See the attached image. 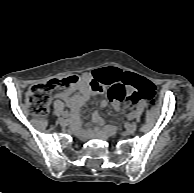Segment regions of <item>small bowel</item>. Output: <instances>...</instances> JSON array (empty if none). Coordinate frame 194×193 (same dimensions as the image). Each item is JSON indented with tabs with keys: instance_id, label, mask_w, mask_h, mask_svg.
Segmentation results:
<instances>
[{
	"instance_id": "obj_1",
	"label": "small bowel",
	"mask_w": 194,
	"mask_h": 193,
	"mask_svg": "<svg viewBox=\"0 0 194 193\" xmlns=\"http://www.w3.org/2000/svg\"><path fill=\"white\" fill-rule=\"evenodd\" d=\"M123 74L124 72L122 70L114 67L99 68L90 72H86L82 74L76 88L73 91L60 92L57 96L67 103L74 114H77L80 109L86 104H98V97L94 95L92 89L93 84L101 85L112 79L119 80L121 79ZM144 82V86H141L139 84L127 85L129 94L143 92V95L145 97H148V95L151 93V86L147 81L144 80ZM106 104V101H102L100 104H98L93 112V122L96 126L100 127L104 125V119L100 115V109L105 107ZM115 108L117 111H120L122 109V107L120 106H116ZM115 130L116 127L114 125H104L101 131V135L103 137H109L115 133Z\"/></svg>"
}]
</instances>
